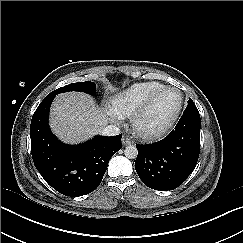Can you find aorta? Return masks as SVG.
<instances>
[{
	"label": "aorta",
	"instance_id": "1",
	"mask_svg": "<svg viewBox=\"0 0 243 243\" xmlns=\"http://www.w3.org/2000/svg\"><path fill=\"white\" fill-rule=\"evenodd\" d=\"M124 155L128 158V159H135L138 155V150L135 146L133 145H129L125 148L124 150Z\"/></svg>",
	"mask_w": 243,
	"mask_h": 243
}]
</instances>
